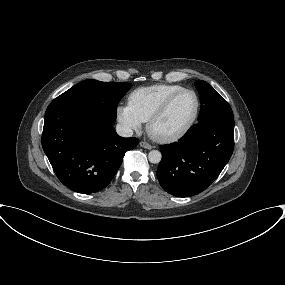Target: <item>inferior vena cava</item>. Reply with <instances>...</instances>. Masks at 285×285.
Returning a JSON list of instances; mask_svg holds the SVG:
<instances>
[{
	"mask_svg": "<svg viewBox=\"0 0 285 285\" xmlns=\"http://www.w3.org/2000/svg\"><path fill=\"white\" fill-rule=\"evenodd\" d=\"M116 132L118 135L122 137H131L133 135V130L130 127L123 124H117Z\"/></svg>",
	"mask_w": 285,
	"mask_h": 285,
	"instance_id": "1",
	"label": "inferior vena cava"
}]
</instances>
